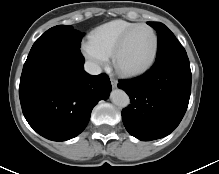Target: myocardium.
Masks as SVG:
<instances>
[{"mask_svg": "<svg viewBox=\"0 0 219 174\" xmlns=\"http://www.w3.org/2000/svg\"><path fill=\"white\" fill-rule=\"evenodd\" d=\"M140 28H147L149 29L154 37V49H153V54L150 58V60L142 67L137 68V69H124L122 67H120L119 65V57L122 54L123 50L125 49V46L128 42V40L130 39V37L133 35V33L140 29ZM158 49H159V38H158V34L156 32V30L149 24H138L137 26L131 28L130 30H128L120 39V41L118 42L117 46L115 47L113 54H112V60H113V66L115 68V70L123 77H135V76H139L145 72H147L155 63L157 55H158Z\"/></svg>", "mask_w": 219, "mask_h": 174, "instance_id": "f54148a6", "label": "myocardium"}]
</instances>
